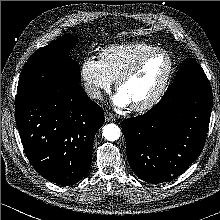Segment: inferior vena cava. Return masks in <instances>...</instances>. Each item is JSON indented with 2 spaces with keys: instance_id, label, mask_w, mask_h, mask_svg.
Segmentation results:
<instances>
[{
  "instance_id": "inferior-vena-cava-1",
  "label": "inferior vena cava",
  "mask_w": 220,
  "mask_h": 220,
  "mask_svg": "<svg viewBox=\"0 0 220 220\" xmlns=\"http://www.w3.org/2000/svg\"><path fill=\"white\" fill-rule=\"evenodd\" d=\"M85 92L90 98L102 100L103 94L100 89L94 86H85Z\"/></svg>"
}]
</instances>
